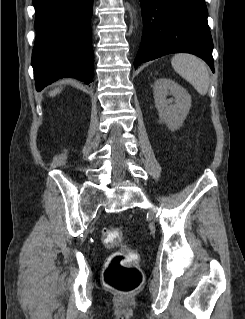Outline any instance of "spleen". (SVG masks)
Instances as JSON below:
<instances>
[{"label":"spleen","mask_w":245,"mask_h":319,"mask_svg":"<svg viewBox=\"0 0 245 319\" xmlns=\"http://www.w3.org/2000/svg\"><path fill=\"white\" fill-rule=\"evenodd\" d=\"M174 70L188 81L201 95L208 92L210 80L206 63L195 55L179 53L171 60Z\"/></svg>","instance_id":"spleen-1"}]
</instances>
